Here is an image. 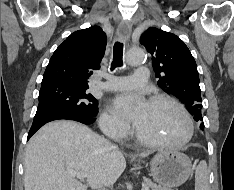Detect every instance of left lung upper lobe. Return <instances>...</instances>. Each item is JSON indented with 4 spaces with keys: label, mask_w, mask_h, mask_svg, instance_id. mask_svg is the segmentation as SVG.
I'll return each mask as SVG.
<instances>
[{
    "label": "left lung upper lobe",
    "mask_w": 234,
    "mask_h": 190,
    "mask_svg": "<svg viewBox=\"0 0 234 190\" xmlns=\"http://www.w3.org/2000/svg\"><path fill=\"white\" fill-rule=\"evenodd\" d=\"M140 42L153 55L158 85L181 100L195 121H202L199 74L188 47L178 36L155 27L147 29Z\"/></svg>",
    "instance_id": "left-lung-upper-lobe-1"
}]
</instances>
